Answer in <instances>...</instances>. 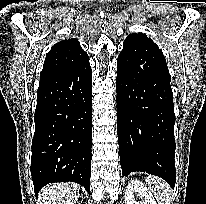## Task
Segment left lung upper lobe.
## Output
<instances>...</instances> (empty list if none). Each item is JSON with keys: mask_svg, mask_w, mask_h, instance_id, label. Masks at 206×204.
Here are the masks:
<instances>
[{"mask_svg": "<svg viewBox=\"0 0 206 204\" xmlns=\"http://www.w3.org/2000/svg\"><path fill=\"white\" fill-rule=\"evenodd\" d=\"M121 57L131 67L132 70H137L144 63V60L157 61L166 65V61L162 51L158 45L145 34H131L124 40L123 49L120 52Z\"/></svg>", "mask_w": 206, "mask_h": 204, "instance_id": "1", "label": "left lung upper lobe"}]
</instances>
